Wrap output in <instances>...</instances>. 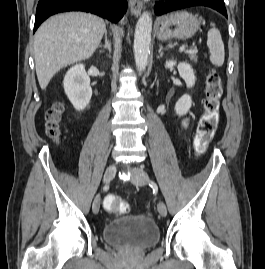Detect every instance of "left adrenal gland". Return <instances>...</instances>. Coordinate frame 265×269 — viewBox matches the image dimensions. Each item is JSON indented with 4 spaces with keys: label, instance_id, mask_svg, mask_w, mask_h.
Segmentation results:
<instances>
[{
    "label": "left adrenal gland",
    "instance_id": "a2214340",
    "mask_svg": "<svg viewBox=\"0 0 265 269\" xmlns=\"http://www.w3.org/2000/svg\"><path fill=\"white\" fill-rule=\"evenodd\" d=\"M164 49H166V48H163V46L160 44L159 45V51H158V53H159L160 56L163 54V50Z\"/></svg>",
    "mask_w": 265,
    "mask_h": 269
}]
</instances>
